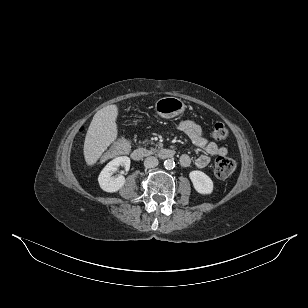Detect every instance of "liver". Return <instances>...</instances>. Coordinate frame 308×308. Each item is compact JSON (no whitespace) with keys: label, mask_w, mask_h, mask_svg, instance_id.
<instances>
[{"label":"liver","mask_w":308,"mask_h":308,"mask_svg":"<svg viewBox=\"0 0 308 308\" xmlns=\"http://www.w3.org/2000/svg\"><path fill=\"white\" fill-rule=\"evenodd\" d=\"M117 105L106 106L94 115L84 141V158L87 165H94L102 153L116 140Z\"/></svg>","instance_id":"liver-1"}]
</instances>
